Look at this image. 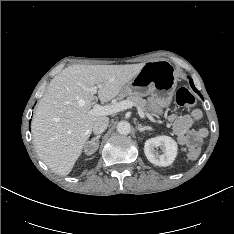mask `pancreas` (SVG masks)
Instances as JSON below:
<instances>
[{
  "label": "pancreas",
  "mask_w": 234,
  "mask_h": 234,
  "mask_svg": "<svg viewBox=\"0 0 234 234\" xmlns=\"http://www.w3.org/2000/svg\"><path fill=\"white\" fill-rule=\"evenodd\" d=\"M119 98H122V96H120ZM126 100H128V101L132 102L133 104L139 106L146 113H150L152 111V108L150 107L149 102L147 100L143 99L140 96L130 95L129 97H127Z\"/></svg>",
  "instance_id": "cf45deb5"
}]
</instances>
